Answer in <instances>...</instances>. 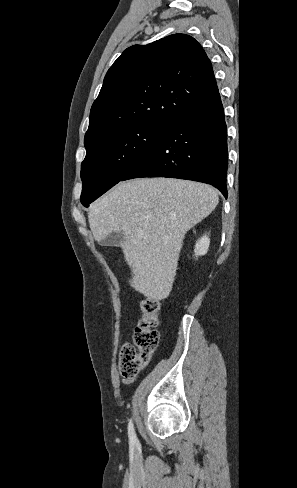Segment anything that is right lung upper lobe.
<instances>
[{
  "label": "right lung upper lobe",
  "mask_w": 297,
  "mask_h": 488,
  "mask_svg": "<svg viewBox=\"0 0 297 488\" xmlns=\"http://www.w3.org/2000/svg\"><path fill=\"white\" fill-rule=\"evenodd\" d=\"M219 95L212 64L191 36L173 34L127 48L108 70L94 101L86 148L143 122L172 123Z\"/></svg>",
  "instance_id": "1"
}]
</instances>
